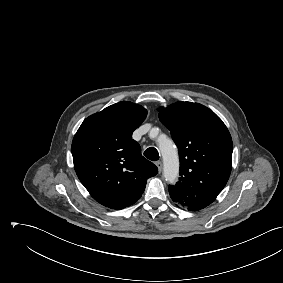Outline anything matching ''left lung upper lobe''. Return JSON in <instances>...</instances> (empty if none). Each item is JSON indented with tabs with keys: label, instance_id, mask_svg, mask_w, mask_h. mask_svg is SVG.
Returning a JSON list of instances; mask_svg holds the SVG:
<instances>
[{
	"label": "left lung upper lobe",
	"instance_id": "5c2ea615",
	"mask_svg": "<svg viewBox=\"0 0 283 283\" xmlns=\"http://www.w3.org/2000/svg\"><path fill=\"white\" fill-rule=\"evenodd\" d=\"M180 158V177L169 186L171 199L189 211L211 204L225 187L232 168L233 144L222 120L209 108L177 102L160 108Z\"/></svg>",
	"mask_w": 283,
	"mask_h": 283
}]
</instances>
